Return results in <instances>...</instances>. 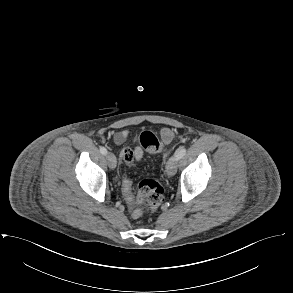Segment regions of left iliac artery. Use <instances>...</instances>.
Masks as SVG:
<instances>
[{
    "instance_id": "1",
    "label": "left iliac artery",
    "mask_w": 293,
    "mask_h": 293,
    "mask_svg": "<svg viewBox=\"0 0 293 293\" xmlns=\"http://www.w3.org/2000/svg\"><path fill=\"white\" fill-rule=\"evenodd\" d=\"M186 153V147L185 146H181L177 151H176V157L179 160L180 158H182Z\"/></svg>"
}]
</instances>
